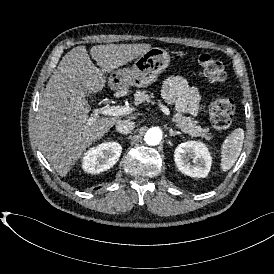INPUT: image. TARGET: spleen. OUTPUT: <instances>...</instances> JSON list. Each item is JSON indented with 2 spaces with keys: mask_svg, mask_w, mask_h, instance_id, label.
<instances>
[{
  "mask_svg": "<svg viewBox=\"0 0 274 274\" xmlns=\"http://www.w3.org/2000/svg\"><path fill=\"white\" fill-rule=\"evenodd\" d=\"M244 137V129L236 128L222 142L220 149V171L222 173L230 170L237 161L243 147Z\"/></svg>",
  "mask_w": 274,
  "mask_h": 274,
  "instance_id": "spleen-1",
  "label": "spleen"
}]
</instances>
